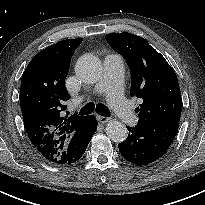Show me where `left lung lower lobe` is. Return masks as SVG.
<instances>
[{
	"mask_svg": "<svg viewBox=\"0 0 205 205\" xmlns=\"http://www.w3.org/2000/svg\"><path fill=\"white\" fill-rule=\"evenodd\" d=\"M179 122H141L127 127L129 135L119 144V151L129 162L148 165L162 157L173 142Z\"/></svg>",
	"mask_w": 205,
	"mask_h": 205,
	"instance_id": "1",
	"label": "left lung lower lobe"
}]
</instances>
